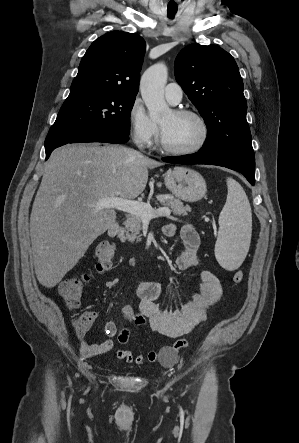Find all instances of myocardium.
<instances>
[{
	"label": "myocardium",
	"instance_id": "f54148a6",
	"mask_svg": "<svg viewBox=\"0 0 299 443\" xmlns=\"http://www.w3.org/2000/svg\"><path fill=\"white\" fill-rule=\"evenodd\" d=\"M173 113L176 116L194 118L200 126L201 136L195 145H193L189 148L176 149V148L168 147L164 143L163 138H162V132L160 131L158 141H157L158 149L165 154H169V155H173V156H188V155H193V154L201 151L205 147V145L207 144V141L209 139V127H208V124H207L206 120L204 119V117L201 114H199L198 112L193 111V110H189V109H177V110H174Z\"/></svg>",
	"mask_w": 299,
	"mask_h": 443
}]
</instances>
